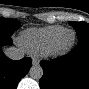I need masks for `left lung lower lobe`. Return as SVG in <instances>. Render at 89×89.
Here are the masks:
<instances>
[{"label": "left lung lower lobe", "mask_w": 89, "mask_h": 89, "mask_svg": "<svg viewBox=\"0 0 89 89\" xmlns=\"http://www.w3.org/2000/svg\"><path fill=\"white\" fill-rule=\"evenodd\" d=\"M67 55L40 62L41 89H89V38L78 39Z\"/></svg>", "instance_id": "1"}]
</instances>
